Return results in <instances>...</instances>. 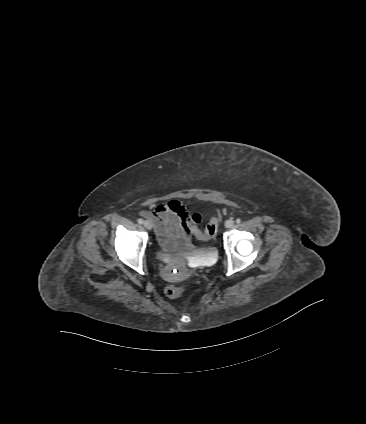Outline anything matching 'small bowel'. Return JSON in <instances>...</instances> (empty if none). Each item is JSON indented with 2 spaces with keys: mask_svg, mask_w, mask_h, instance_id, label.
<instances>
[{
  "mask_svg": "<svg viewBox=\"0 0 366 424\" xmlns=\"http://www.w3.org/2000/svg\"><path fill=\"white\" fill-rule=\"evenodd\" d=\"M142 215L152 222L164 249L183 248L190 243V235L183 223L187 213L180 201L159 203L153 211H143Z\"/></svg>",
  "mask_w": 366,
  "mask_h": 424,
  "instance_id": "obj_1",
  "label": "small bowel"
}]
</instances>
